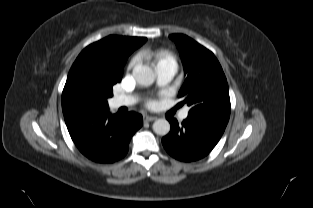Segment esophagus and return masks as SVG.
<instances>
[{"instance_id":"34e87169","label":"esophagus","mask_w":313,"mask_h":208,"mask_svg":"<svg viewBox=\"0 0 313 208\" xmlns=\"http://www.w3.org/2000/svg\"><path fill=\"white\" fill-rule=\"evenodd\" d=\"M156 119H157V117H155V116H149V115L144 116V121H146V122H151V121H154Z\"/></svg>"}]
</instances>
